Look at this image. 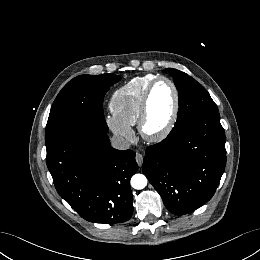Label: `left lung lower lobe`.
<instances>
[{"label":"left lung lower lobe","mask_w":260,"mask_h":260,"mask_svg":"<svg viewBox=\"0 0 260 260\" xmlns=\"http://www.w3.org/2000/svg\"><path fill=\"white\" fill-rule=\"evenodd\" d=\"M226 164L219 114L198 116L146 149L143 171L173 214H188L214 195Z\"/></svg>","instance_id":"1"}]
</instances>
